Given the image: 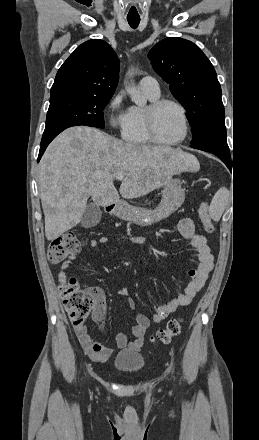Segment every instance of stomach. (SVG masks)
Masks as SVG:
<instances>
[{"label": "stomach", "mask_w": 259, "mask_h": 440, "mask_svg": "<svg viewBox=\"0 0 259 440\" xmlns=\"http://www.w3.org/2000/svg\"><path fill=\"white\" fill-rule=\"evenodd\" d=\"M185 192L179 179H170L162 192L160 204L154 209H145L120 202L116 205L113 214L128 222L148 226L168 218L184 202Z\"/></svg>", "instance_id": "0dacf381"}]
</instances>
